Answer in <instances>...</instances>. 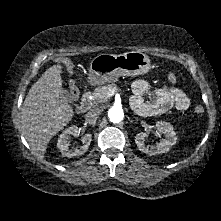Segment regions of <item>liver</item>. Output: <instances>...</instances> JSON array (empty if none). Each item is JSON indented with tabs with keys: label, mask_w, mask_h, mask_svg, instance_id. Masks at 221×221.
I'll return each instance as SVG.
<instances>
[{
	"label": "liver",
	"mask_w": 221,
	"mask_h": 221,
	"mask_svg": "<svg viewBox=\"0 0 221 221\" xmlns=\"http://www.w3.org/2000/svg\"><path fill=\"white\" fill-rule=\"evenodd\" d=\"M62 66L46 70L29 90L21 109V128L31 150L43 158L51 138L74 115L71 105L61 96Z\"/></svg>",
	"instance_id": "liver-1"
}]
</instances>
